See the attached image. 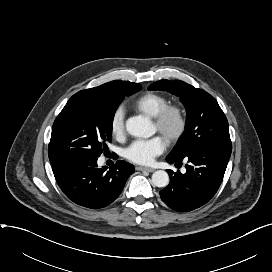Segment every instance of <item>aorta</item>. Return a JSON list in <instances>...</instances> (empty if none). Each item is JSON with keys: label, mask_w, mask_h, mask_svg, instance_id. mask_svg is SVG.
Instances as JSON below:
<instances>
[{"label": "aorta", "mask_w": 272, "mask_h": 272, "mask_svg": "<svg viewBox=\"0 0 272 272\" xmlns=\"http://www.w3.org/2000/svg\"><path fill=\"white\" fill-rule=\"evenodd\" d=\"M127 132L135 137L148 138L155 133L153 124L146 118L136 116L126 121ZM152 184L156 187H166L169 175L166 171L158 170L152 174Z\"/></svg>", "instance_id": "obj_1"}]
</instances>
